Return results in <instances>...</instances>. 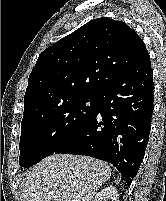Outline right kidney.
I'll use <instances>...</instances> for the list:
<instances>
[{
	"instance_id": "ca27d5eb",
	"label": "right kidney",
	"mask_w": 166,
	"mask_h": 201,
	"mask_svg": "<svg viewBox=\"0 0 166 201\" xmlns=\"http://www.w3.org/2000/svg\"><path fill=\"white\" fill-rule=\"evenodd\" d=\"M118 198L119 194L116 188L114 186H108L96 194L93 201H107V199H110L111 201H117Z\"/></svg>"
}]
</instances>
